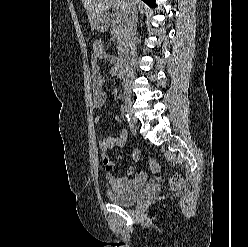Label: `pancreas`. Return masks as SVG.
I'll return each mask as SVG.
<instances>
[{"mask_svg": "<svg viewBox=\"0 0 248 247\" xmlns=\"http://www.w3.org/2000/svg\"><path fill=\"white\" fill-rule=\"evenodd\" d=\"M111 33L117 41L118 55L123 56L127 45V28L122 16H114L111 21Z\"/></svg>", "mask_w": 248, "mask_h": 247, "instance_id": "pancreas-1", "label": "pancreas"}]
</instances>
